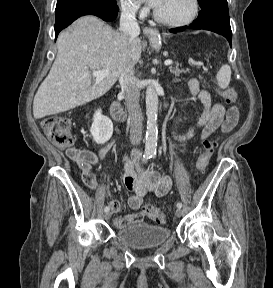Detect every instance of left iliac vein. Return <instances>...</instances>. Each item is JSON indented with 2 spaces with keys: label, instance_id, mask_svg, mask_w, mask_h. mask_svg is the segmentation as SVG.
<instances>
[{
  "label": "left iliac vein",
  "instance_id": "4c4485c4",
  "mask_svg": "<svg viewBox=\"0 0 273 288\" xmlns=\"http://www.w3.org/2000/svg\"><path fill=\"white\" fill-rule=\"evenodd\" d=\"M175 215L177 217H181L183 215V210L181 208H177L175 211Z\"/></svg>",
  "mask_w": 273,
  "mask_h": 288
}]
</instances>
